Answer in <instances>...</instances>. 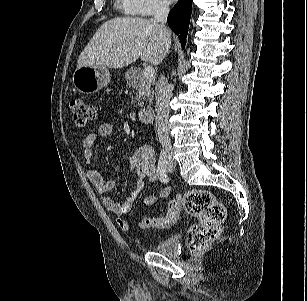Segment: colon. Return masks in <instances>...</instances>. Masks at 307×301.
Instances as JSON below:
<instances>
[{
	"label": "colon",
	"instance_id": "1",
	"mask_svg": "<svg viewBox=\"0 0 307 301\" xmlns=\"http://www.w3.org/2000/svg\"><path fill=\"white\" fill-rule=\"evenodd\" d=\"M70 110L75 123L80 126L94 121L98 115L97 106L83 98L72 99ZM181 210L198 219V222L188 229V248L195 252L207 249L219 237L220 226L226 216L223 204L207 190L194 189L178 194L168 203L166 215L145 217L139 222V227L143 229L169 227L175 223Z\"/></svg>",
	"mask_w": 307,
	"mask_h": 301
}]
</instances>
